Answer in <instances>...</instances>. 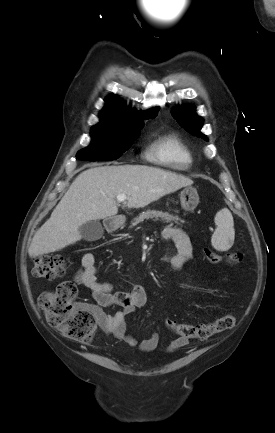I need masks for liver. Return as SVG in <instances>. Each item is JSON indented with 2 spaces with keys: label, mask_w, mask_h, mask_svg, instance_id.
Instances as JSON below:
<instances>
[{
  "label": "liver",
  "mask_w": 275,
  "mask_h": 433,
  "mask_svg": "<svg viewBox=\"0 0 275 433\" xmlns=\"http://www.w3.org/2000/svg\"><path fill=\"white\" fill-rule=\"evenodd\" d=\"M193 181L146 165L100 166L83 171L73 181L51 217L35 233L30 257L59 251L79 241L83 224L115 217L116 198L127 196L125 206L143 208L161 197L191 186Z\"/></svg>",
  "instance_id": "liver-1"
}]
</instances>
